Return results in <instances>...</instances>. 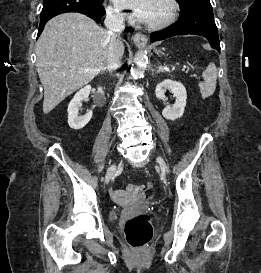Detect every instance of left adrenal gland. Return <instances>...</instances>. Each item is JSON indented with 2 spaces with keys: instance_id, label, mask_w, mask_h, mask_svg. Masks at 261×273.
<instances>
[{
  "instance_id": "left-adrenal-gland-1",
  "label": "left adrenal gland",
  "mask_w": 261,
  "mask_h": 273,
  "mask_svg": "<svg viewBox=\"0 0 261 273\" xmlns=\"http://www.w3.org/2000/svg\"><path fill=\"white\" fill-rule=\"evenodd\" d=\"M163 71H164L163 67H162V66H159V68H158V70H157V73H160V72H163Z\"/></svg>"
}]
</instances>
